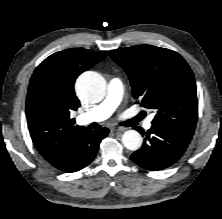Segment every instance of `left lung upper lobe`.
Listing matches in <instances>:
<instances>
[{"label":"left lung upper lobe","mask_w":222,"mask_h":219,"mask_svg":"<svg viewBox=\"0 0 222 219\" xmlns=\"http://www.w3.org/2000/svg\"><path fill=\"white\" fill-rule=\"evenodd\" d=\"M110 56L129 76L134 98L156 112L152 125L192 138L198 103L187 62L175 51L151 45L112 50Z\"/></svg>","instance_id":"5c2ea615"}]
</instances>
